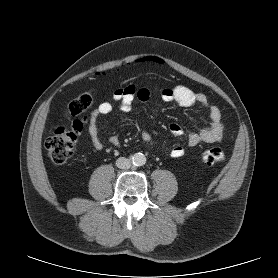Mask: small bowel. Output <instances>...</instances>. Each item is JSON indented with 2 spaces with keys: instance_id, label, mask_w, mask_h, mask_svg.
<instances>
[{
  "instance_id": "1",
  "label": "small bowel",
  "mask_w": 278,
  "mask_h": 278,
  "mask_svg": "<svg viewBox=\"0 0 278 278\" xmlns=\"http://www.w3.org/2000/svg\"><path fill=\"white\" fill-rule=\"evenodd\" d=\"M160 97L164 102L176 103L184 108L198 105L207 111L210 124L196 132L188 134V144L190 146H197L201 143H213L219 141L223 137L225 125L221 111L217 105L209 103L205 94L194 92L187 86L179 84L173 87L162 88L160 90ZM112 98L114 102L119 103L121 111L127 113L131 111L132 104L135 100L148 102L151 98V92L146 87H138L135 84H129L125 87L117 88L113 92ZM112 110V102L105 101L100 103L91 114L88 133L91 143L97 150H102L104 148L98 136L97 118L101 115L111 113ZM169 131L175 137H180L184 134L183 128L177 123H172L169 126ZM141 137L146 144L153 145L154 141L152 135L147 130L141 132ZM109 141L114 146H119L120 144L119 138L116 135H110ZM184 153L185 150L180 145L174 146L170 151L172 158H180Z\"/></svg>"
}]
</instances>
